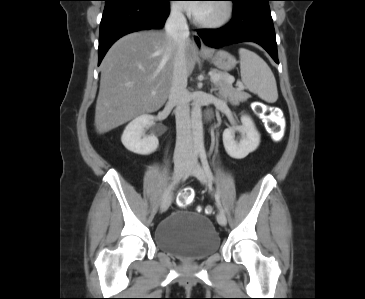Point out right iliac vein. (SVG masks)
<instances>
[{"mask_svg":"<svg viewBox=\"0 0 365 299\" xmlns=\"http://www.w3.org/2000/svg\"><path fill=\"white\" fill-rule=\"evenodd\" d=\"M187 165L184 162V159L180 158L178 159L174 164V175H173V182L175 181V184L179 181L178 179L186 172ZM172 201V195L169 194L163 201L160 207L161 212H165Z\"/></svg>","mask_w":365,"mask_h":299,"instance_id":"63e3f726","label":"right iliac vein"}]
</instances>
